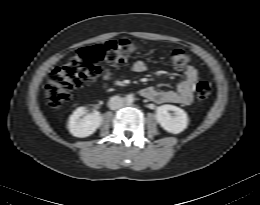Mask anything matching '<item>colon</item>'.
I'll return each instance as SVG.
<instances>
[{"label": "colon", "mask_w": 260, "mask_h": 205, "mask_svg": "<svg viewBox=\"0 0 260 205\" xmlns=\"http://www.w3.org/2000/svg\"><path fill=\"white\" fill-rule=\"evenodd\" d=\"M137 50V45L129 40H111L104 44L83 47L66 63L56 67L45 86V95L50 106H59L71 98L74 89L85 82L97 78L102 73V64L119 66L127 63ZM170 58L177 69L189 62V54L181 49L170 50ZM211 85L199 81L196 95L200 100L211 94Z\"/></svg>", "instance_id": "obj_1"}]
</instances>
